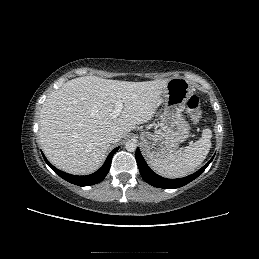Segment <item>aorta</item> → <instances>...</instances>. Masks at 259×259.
<instances>
[{
	"mask_svg": "<svg viewBox=\"0 0 259 259\" xmlns=\"http://www.w3.org/2000/svg\"><path fill=\"white\" fill-rule=\"evenodd\" d=\"M125 148L127 151L129 152H133L136 150L137 148V144L134 140H129L125 143Z\"/></svg>",
	"mask_w": 259,
	"mask_h": 259,
	"instance_id": "obj_1",
	"label": "aorta"
}]
</instances>
